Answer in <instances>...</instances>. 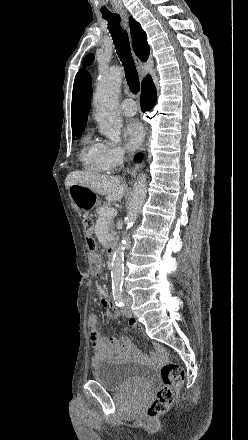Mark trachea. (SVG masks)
<instances>
[{
	"label": "trachea",
	"mask_w": 248,
	"mask_h": 440,
	"mask_svg": "<svg viewBox=\"0 0 248 440\" xmlns=\"http://www.w3.org/2000/svg\"><path fill=\"white\" fill-rule=\"evenodd\" d=\"M103 18L108 21V29L113 38L117 54L124 66L130 91L133 94H138L140 90L139 76L131 54L127 31L120 26L121 18L118 14L103 15Z\"/></svg>",
	"instance_id": "3493384b"
}]
</instances>
